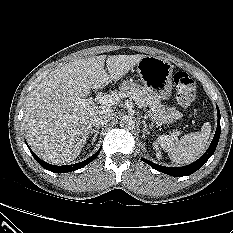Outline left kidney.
<instances>
[{"label": "left kidney", "mask_w": 233, "mask_h": 233, "mask_svg": "<svg viewBox=\"0 0 233 233\" xmlns=\"http://www.w3.org/2000/svg\"><path fill=\"white\" fill-rule=\"evenodd\" d=\"M153 148L156 150V156H157V158H161V153H160V151H159V149H158V145L156 144V143H154L153 144Z\"/></svg>", "instance_id": "left-kidney-1"}]
</instances>
